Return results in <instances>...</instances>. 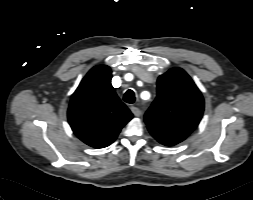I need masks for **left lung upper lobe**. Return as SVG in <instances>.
<instances>
[{"label":"left lung upper lobe","mask_w":253,"mask_h":200,"mask_svg":"<svg viewBox=\"0 0 253 200\" xmlns=\"http://www.w3.org/2000/svg\"><path fill=\"white\" fill-rule=\"evenodd\" d=\"M204 110L201 92L181 68H172L157 80V97L144 119L149 129L188 136Z\"/></svg>","instance_id":"obj_1"}]
</instances>
